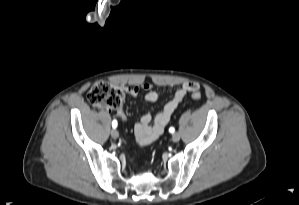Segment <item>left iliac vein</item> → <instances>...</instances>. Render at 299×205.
<instances>
[{
	"mask_svg": "<svg viewBox=\"0 0 299 205\" xmlns=\"http://www.w3.org/2000/svg\"><path fill=\"white\" fill-rule=\"evenodd\" d=\"M172 140L174 142H178L180 140V133L179 132H174L172 135Z\"/></svg>",
	"mask_w": 299,
	"mask_h": 205,
	"instance_id": "4c4485c4",
	"label": "left iliac vein"
}]
</instances>
